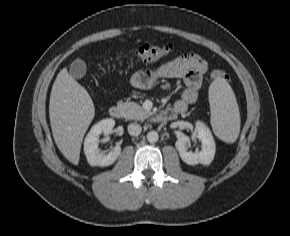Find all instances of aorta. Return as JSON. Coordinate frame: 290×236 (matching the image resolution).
<instances>
[{"label":"aorta","mask_w":290,"mask_h":236,"mask_svg":"<svg viewBox=\"0 0 290 236\" xmlns=\"http://www.w3.org/2000/svg\"><path fill=\"white\" fill-rule=\"evenodd\" d=\"M159 139V135L156 131H150L147 133V140L150 143H155Z\"/></svg>","instance_id":"762f6f07"}]
</instances>
